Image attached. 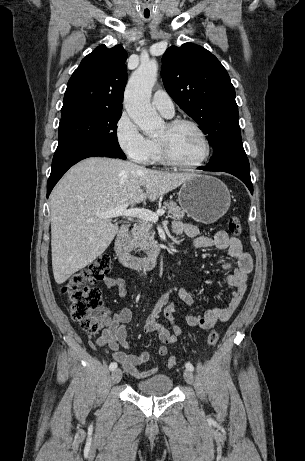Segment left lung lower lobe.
Listing matches in <instances>:
<instances>
[{"label":"left lung lower lobe","mask_w":305,"mask_h":461,"mask_svg":"<svg viewBox=\"0 0 305 461\" xmlns=\"http://www.w3.org/2000/svg\"><path fill=\"white\" fill-rule=\"evenodd\" d=\"M236 149L237 151L245 152L242 143H237ZM198 169L204 171H222L230 173L239 178L241 181H243L250 190L251 194H253V185L250 177V167L244 165L237 158L236 154H234V156L230 160L219 166H200L198 167Z\"/></svg>","instance_id":"left-lung-lower-lobe-1"}]
</instances>
